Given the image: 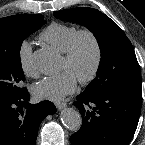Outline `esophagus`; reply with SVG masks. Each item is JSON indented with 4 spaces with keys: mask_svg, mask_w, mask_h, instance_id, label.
Returning a JSON list of instances; mask_svg holds the SVG:
<instances>
[{
    "mask_svg": "<svg viewBox=\"0 0 145 145\" xmlns=\"http://www.w3.org/2000/svg\"><path fill=\"white\" fill-rule=\"evenodd\" d=\"M55 106L58 110H62L63 108L66 107V103L65 102H56Z\"/></svg>",
    "mask_w": 145,
    "mask_h": 145,
    "instance_id": "esophagus-1",
    "label": "esophagus"
}]
</instances>
